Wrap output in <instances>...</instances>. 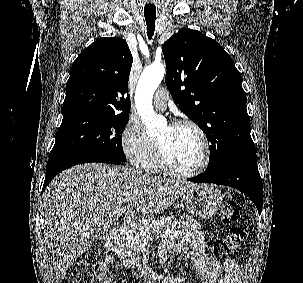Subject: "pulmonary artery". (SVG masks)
Wrapping results in <instances>:
<instances>
[{
	"mask_svg": "<svg viewBox=\"0 0 303 283\" xmlns=\"http://www.w3.org/2000/svg\"><path fill=\"white\" fill-rule=\"evenodd\" d=\"M169 100V92L167 89H159L154 96V105L158 109H166Z\"/></svg>",
	"mask_w": 303,
	"mask_h": 283,
	"instance_id": "pulmonary-artery-1",
	"label": "pulmonary artery"
}]
</instances>
